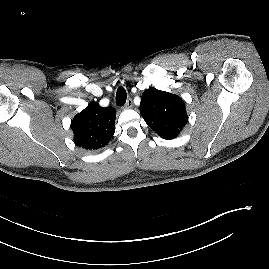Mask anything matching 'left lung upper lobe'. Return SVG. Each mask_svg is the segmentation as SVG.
<instances>
[{"instance_id": "left-lung-upper-lobe-1", "label": "left lung upper lobe", "mask_w": 269, "mask_h": 269, "mask_svg": "<svg viewBox=\"0 0 269 269\" xmlns=\"http://www.w3.org/2000/svg\"><path fill=\"white\" fill-rule=\"evenodd\" d=\"M140 113L148 126L167 140L176 138L188 120L184 101L156 88L143 92Z\"/></svg>"}]
</instances>
